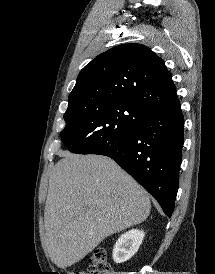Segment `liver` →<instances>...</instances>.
<instances>
[{
	"instance_id": "6515ba94",
	"label": "liver",
	"mask_w": 215,
	"mask_h": 274,
	"mask_svg": "<svg viewBox=\"0 0 215 274\" xmlns=\"http://www.w3.org/2000/svg\"><path fill=\"white\" fill-rule=\"evenodd\" d=\"M49 179L44 222L46 250L65 269L106 237L145 221L147 192L106 156L62 152Z\"/></svg>"
}]
</instances>
